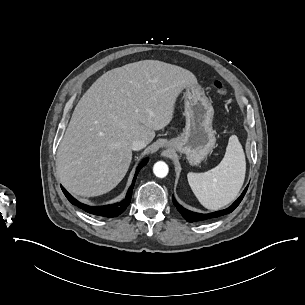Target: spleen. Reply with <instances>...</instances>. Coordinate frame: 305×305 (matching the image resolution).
<instances>
[{"instance_id":"1","label":"spleen","mask_w":305,"mask_h":305,"mask_svg":"<svg viewBox=\"0 0 305 305\" xmlns=\"http://www.w3.org/2000/svg\"><path fill=\"white\" fill-rule=\"evenodd\" d=\"M245 157L236 136H231L221 162L204 173L187 174L189 186L199 203L215 210L231 202L244 181Z\"/></svg>"}]
</instances>
